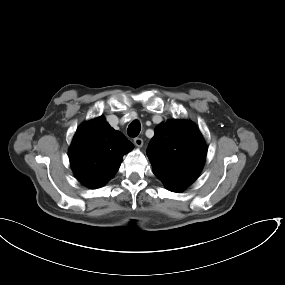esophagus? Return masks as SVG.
I'll list each match as a JSON object with an SVG mask.
<instances>
[{
  "label": "esophagus",
  "instance_id": "esophagus-1",
  "mask_svg": "<svg viewBox=\"0 0 285 285\" xmlns=\"http://www.w3.org/2000/svg\"><path fill=\"white\" fill-rule=\"evenodd\" d=\"M134 144H135L137 147H142V146H143V139H142V138H139V137L134 138Z\"/></svg>",
  "mask_w": 285,
  "mask_h": 285
}]
</instances>
